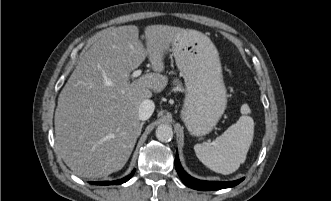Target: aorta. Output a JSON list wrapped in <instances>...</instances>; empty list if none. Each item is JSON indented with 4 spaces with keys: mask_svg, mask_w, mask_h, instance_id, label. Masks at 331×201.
I'll use <instances>...</instances> for the list:
<instances>
[{
    "mask_svg": "<svg viewBox=\"0 0 331 201\" xmlns=\"http://www.w3.org/2000/svg\"><path fill=\"white\" fill-rule=\"evenodd\" d=\"M156 137L161 142H169L173 138V129L170 125L161 124L156 129Z\"/></svg>",
    "mask_w": 331,
    "mask_h": 201,
    "instance_id": "obj_1",
    "label": "aorta"
}]
</instances>
